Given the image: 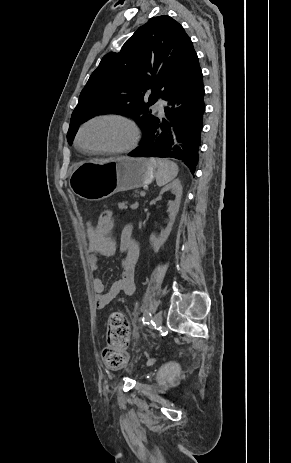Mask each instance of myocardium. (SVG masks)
I'll return each mask as SVG.
<instances>
[{"mask_svg": "<svg viewBox=\"0 0 291 463\" xmlns=\"http://www.w3.org/2000/svg\"><path fill=\"white\" fill-rule=\"evenodd\" d=\"M105 120L119 121L127 125L130 130V139L128 143L120 147H84L81 144V135L84 129L92 123ZM140 136V129L137 123L131 117L117 112L103 113L87 119L79 126L75 136V145L81 151L88 154L120 155L131 152L138 145Z\"/></svg>", "mask_w": 291, "mask_h": 463, "instance_id": "obj_1", "label": "myocardium"}]
</instances>
